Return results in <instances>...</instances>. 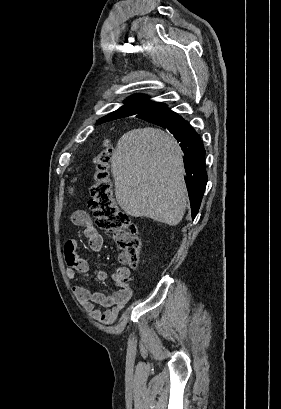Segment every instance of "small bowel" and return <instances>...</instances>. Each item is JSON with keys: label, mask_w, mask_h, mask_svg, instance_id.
<instances>
[{"label": "small bowel", "mask_w": 281, "mask_h": 409, "mask_svg": "<svg viewBox=\"0 0 281 409\" xmlns=\"http://www.w3.org/2000/svg\"><path fill=\"white\" fill-rule=\"evenodd\" d=\"M72 223L83 228V233L90 249L94 252H100L103 246V238L93 225L89 214L83 210L75 211L72 214ZM76 249V240L70 239L65 243L64 255L68 266L67 275L69 278H73L77 272L86 273L89 271L88 262L78 257ZM131 275V268L125 265L116 267L112 273L100 269L95 273L96 279L100 282L110 280L119 287L117 291L107 295L92 291L84 286L76 285L73 287V292L82 307L89 312L93 319L104 324H111L117 319L132 297L133 291L129 284Z\"/></svg>", "instance_id": "obj_1"}]
</instances>
